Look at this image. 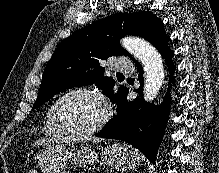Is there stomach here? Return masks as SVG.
<instances>
[{
	"instance_id": "0dacf381",
	"label": "stomach",
	"mask_w": 219,
	"mask_h": 173,
	"mask_svg": "<svg viewBox=\"0 0 219 173\" xmlns=\"http://www.w3.org/2000/svg\"><path fill=\"white\" fill-rule=\"evenodd\" d=\"M103 162L111 169L124 172L135 168L138 155L129 146L113 143L102 148ZM98 159V154L91 148H69L61 143L47 144L38 155V165L43 173H66L70 165L87 166Z\"/></svg>"
}]
</instances>
